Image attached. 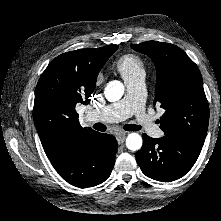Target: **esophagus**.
I'll use <instances>...</instances> for the list:
<instances>
[{
	"mask_svg": "<svg viewBox=\"0 0 221 221\" xmlns=\"http://www.w3.org/2000/svg\"><path fill=\"white\" fill-rule=\"evenodd\" d=\"M116 139H117V142L119 144H122L124 143L125 139H126V133L125 132H120L116 135Z\"/></svg>",
	"mask_w": 221,
	"mask_h": 221,
	"instance_id": "34e87169",
	"label": "esophagus"
}]
</instances>
